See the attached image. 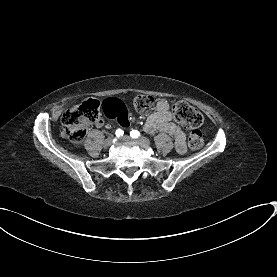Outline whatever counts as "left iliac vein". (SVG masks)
<instances>
[{
	"label": "left iliac vein",
	"mask_w": 277,
	"mask_h": 277,
	"mask_svg": "<svg viewBox=\"0 0 277 277\" xmlns=\"http://www.w3.org/2000/svg\"><path fill=\"white\" fill-rule=\"evenodd\" d=\"M122 140L124 141H132V140H135V141H138L140 143H143V144H146V145H149L150 144V140L145 138V137H141V138H138V139H133L131 138L130 136H123L122 137Z\"/></svg>",
	"instance_id": "obj_1"
}]
</instances>
